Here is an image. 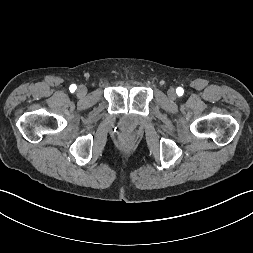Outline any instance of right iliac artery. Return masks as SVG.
<instances>
[{"mask_svg":"<svg viewBox=\"0 0 253 253\" xmlns=\"http://www.w3.org/2000/svg\"><path fill=\"white\" fill-rule=\"evenodd\" d=\"M76 85L75 84H72L71 86H70V91L71 92H74L75 90H76Z\"/></svg>","mask_w":253,"mask_h":253,"instance_id":"obj_1","label":"right iliac artery"}]
</instances>
